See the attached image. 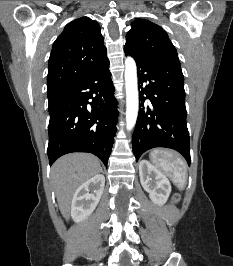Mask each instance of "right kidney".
I'll return each mask as SVG.
<instances>
[{
  "label": "right kidney",
  "instance_id": "ca27d5eb",
  "mask_svg": "<svg viewBox=\"0 0 233 266\" xmlns=\"http://www.w3.org/2000/svg\"><path fill=\"white\" fill-rule=\"evenodd\" d=\"M105 185V177L97 174L80 185L71 203V217L75 222L85 220L98 205Z\"/></svg>",
  "mask_w": 233,
  "mask_h": 266
}]
</instances>
